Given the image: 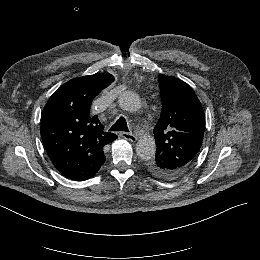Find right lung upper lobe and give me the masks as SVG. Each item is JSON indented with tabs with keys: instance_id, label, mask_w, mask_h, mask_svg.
I'll return each mask as SVG.
<instances>
[{
	"instance_id": "cb5924a9",
	"label": "right lung upper lobe",
	"mask_w": 260,
	"mask_h": 260,
	"mask_svg": "<svg viewBox=\"0 0 260 260\" xmlns=\"http://www.w3.org/2000/svg\"><path fill=\"white\" fill-rule=\"evenodd\" d=\"M113 81L109 73L72 79L50 97L42 112L45 149L67 178L82 181L93 177L105 162L104 146L117 138L90 114L92 100Z\"/></svg>"
}]
</instances>
